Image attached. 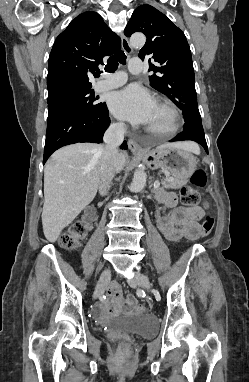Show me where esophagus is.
Instances as JSON below:
<instances>
[{"instance_id": "esophagus-1", "label": "esophagus", "mask_w": 249, "mask_h": 382, "mask_svg": "<svg viewBox=\"0 0 249 382\" xmlns=\"http://www.w3.org/2000/svg\"><path fill=\"white\" fill-rule=\"evenodd\" d=\"M121 46H122V49L127 53V54H130L132 53L133 49L132 47L130 46L129 44V41L127 39V37L122 34L121 36ZM128 146H129V149L135 153V154H142L144 153L142 147L137 143V141L133 138H129L128 139Z\"/></svg>"}]
</instances>
